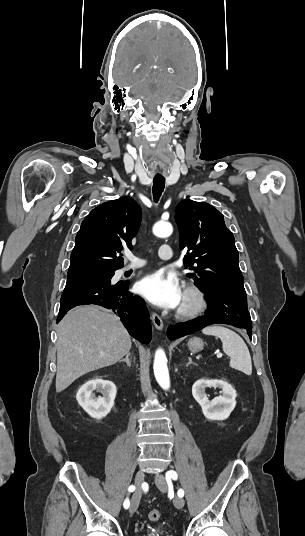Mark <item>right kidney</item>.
<instances>
[{"label":"right kidney","mask_w":305,"mask_h":536,"mask_svg":"<svg viewBox=\"0 0 305 536\" xmlns=\"http://www.w3.org/2000/svg\"><path fill=\"white\" fill-rule=\"evenodd\" d=\"M102 378L103 376L91 378L79 388L76 394L79 406H82L89 416L97 418V420L105 418L111 412L117 394L115 384L109 382V380H102ZM94 390L100 392L102 396L96 398L95 394H93Z\"/></svg>","instance_id":"ca27d5eb"}]
</instances>
